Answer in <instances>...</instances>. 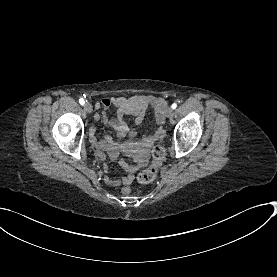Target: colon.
Wrapping results in <instances>:
<instances>
[{
	"label": "colon",
	"mask_w": 277,
	"mask_h": 277,
	"mask_svg": "<svg viewBox=\"0 0 277 277\" xmlns=\"http://www.w3.org/2000/svg\"><path fill=\"white\" fill-rule=\"evenodd\" d=\"M158 137L162 138L163 133L162 131H158ZM164 158V149L162 147H156L153 156L152 162L148 169L142 171L139 176L138 180L140 183L147 184L152 182L158 174V170L160 169Z\"/></svg>",
	"instance_id": "5ec220e1"
}]
</instances>
